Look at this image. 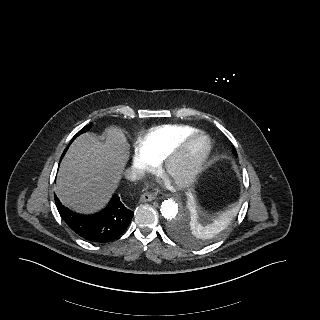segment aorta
<instances>
[{"label":"aorta","instance_id":"aorta-1","mask_svg":"<svg viewBox=\"0 0 320 320\" xmlns=\"http://www.w3.org/2000/svg\"><path fill=\"white\" fill-rule=\"evenodd\" d=\"M178 210V204L172 199L164 200L160 208L162 216L168 220L174 219L178 214ZM188 220L189 213L187 212L185 218L182 219L180 222L181 224H185L188 222Z\"/></svg>","mask_w":320,"mask_h":320}]
</instances>
